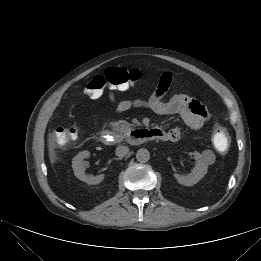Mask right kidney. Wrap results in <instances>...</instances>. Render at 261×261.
<instances>
[{"label": "right kidney", "mask_w": 261, "mask_h": 261, "mask_svg": "<svg viewBox=\"0 0 261 261\" xmlns=\"http://www.w3.org/2000/svg\"><path fill=\"white\" fill-rule=\"evenodd\" d=\"M89 151L79 152L72 160V168L74 171V175L81 181L86 182L87 184L97 185L104 180V174H100L97 176H88L85 174V166L83 164L84 158L89 157Z\"/></svg>", "instance_id": "ca27d5eb"}]
</instances>
